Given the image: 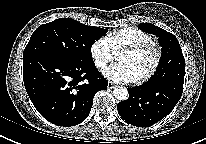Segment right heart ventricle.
I'll list each match as a JSON object with an SVG mask.
<instances>
[{"label":"right heart ventricle","instance_id":"obj_1","mask_svg":"<svg viewBox=\"0 0 206 144\" xmlns=\"http://www.w3.org/2000/svg\"><path fill=\"white\" fill-rule=\"evenodd\" d=\"M106 39L114 53L128 45L151 41V37L147 33L134 27H126L111 32L106 36Z\"/></svg>","mask_w":206,"mask_h":144}]
</instances>
